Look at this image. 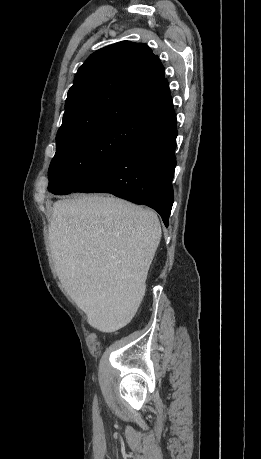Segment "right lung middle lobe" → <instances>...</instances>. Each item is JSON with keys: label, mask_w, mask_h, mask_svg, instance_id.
Segmentation results:
<instances>
[{"label": "right lung middle lobe", "mask_w": 261, "mask_h": 459, "mask_svg": "<svg viewBox=\"0 0 261 459\" xmlns=\"http://www.w3.org/2000/svg\"><path fill=\"white\" fill-rule=\"evenodd\" d=\"M148 128L144 123L116 121L56 139L48 190L53 194H69L119 157Z\"/></svg>", "instance_id": "right-lung-middle-lobe-1"}]
</instances>
